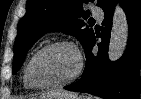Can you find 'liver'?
Returning <instances> with one entry per match:
<instances>
[{"mask_svg":"<svg viewBox=\"0 0 141 99\" xmlns=\"http://www.w3.org/2000/svg\"><path fill=\"white\" fill-rule=\"evenodd\" d=\"M40 97L50 99H76L77 94L69 91H50L42 94Z\"/></svg>","mask_w":141,"mask_h":99,"instance_id":"liver-1","label":"liver"}]
</instances>
